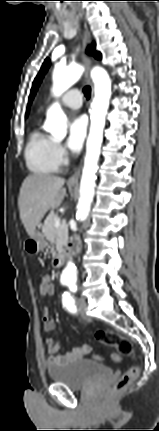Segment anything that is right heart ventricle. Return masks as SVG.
<instances>
[{"label":"right heart ventricle","instance_id":"obj_1","mask_svg":"<svg viewBox=\"0 0 159 431\" xmlns=\"http://www.w3.org/2000/svg\"><path fill=\"white\" fill-rule=\"evenodd\" d=\"M24 155L26 165L33 173L53 174L59 170L54 155V142L38 129L29 134Z\"/></svg>","mask_w":159,"mask_h":431}]
</instances>
